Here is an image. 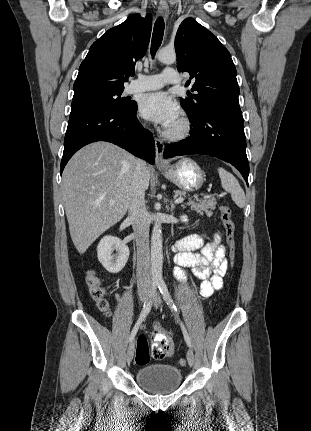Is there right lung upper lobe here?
Segmentation results:
<instances>
[{"mask_svg": "<svg viewBox=\"0 0 311 431\" xmlns=\"http://www.w3.org/2000/svg\"><path fill=\"white\" fill-rule=\"evenodd\" d=\"M152 17L129 16L95 41L81 63L74 94L86 91H123L133 75L135 62L148 48Z\"/></svg>", "mask_w": 311, "mask_h": 431, "instance_id": "cb5924a9", "label": "right lung upper lobe"}]
</instances>
